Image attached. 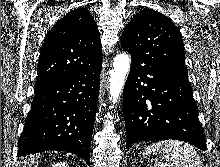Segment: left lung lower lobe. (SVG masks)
Masks as SVG:
<instances>
[{
    "label": "left lung lower lobe",
    "mask_w": 220,
    "mask_h": 167,
    "mask_svg": "<svg viewBox=\"0 0 220 167\" xmlns=\"http://www.w3.org/2000/svg\"><path fill=\"white\" fill-rule=\"evenodd\" d=\"M123 107L126 147L141 141L177 139L206 150L187 76L133 61Z\"/></svg>",
    "instance_id": "1"
}]
</instances>
